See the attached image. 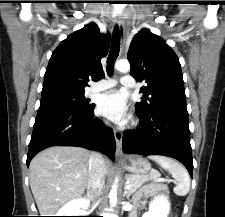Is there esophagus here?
Segmentation results:
<instances>
[{
	"mask_svg": "<svg viewBox=\"0 0 225 217\" xmlns=\"http://www.w3.org/2000/svg\"><path fill=\"white\" fill-rule=\"evenodd\" d=\"M116 23L119 27L120 36H121V38H123L124 32H125V26H124V20L121 15H119L117 17ZM114 136H115V141H116V155H121V153H122V136H123L122 131L115 128Z\"/></svg>",
	"mask_w": 225,
	"mask_h": 217,
	"instance_id": "34e87169",
	"label": "esophagus"
}]
</instances>
